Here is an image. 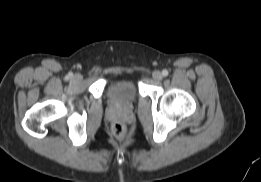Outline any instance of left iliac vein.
<instances>
[{"mask_svg":"<svg viewBox=\"0 0 261 182\" xmlns=\"http://www.w3.org/2000/svg\"><path fill=\"white\" fill-rule=\"evenodd\" d=\"M152 76H153V79L157 82L161 81L163 78V75L160 71H154Z\"/></svg>","mask_w":261,"mask_h":182,"instance_id":"4c4485c4","label":"left iliac vein"}]
</instances>
